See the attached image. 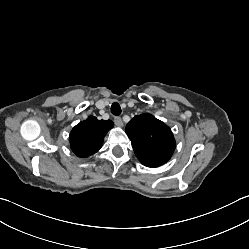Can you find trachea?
I'll use <instances>...</instances> for the list:
<instances>
[{
	"instance_id": "obj_1",
	"label": "trachea",
	"mask_w": 249,
	"mask_h": 249,
	"mask_svg": "<svg viewBox=\"0 0 249 249\" xmlns=\"http://www.w3.org/2000/svg\"><path fill=\"white\" fill-rule=\"evenodd\" d=\"M111 113L115 116H119L121 114V107L118 103H113L111 106Z\"/></svg>"
}]
</instances>
